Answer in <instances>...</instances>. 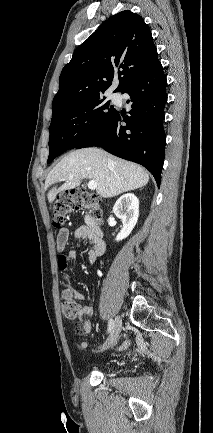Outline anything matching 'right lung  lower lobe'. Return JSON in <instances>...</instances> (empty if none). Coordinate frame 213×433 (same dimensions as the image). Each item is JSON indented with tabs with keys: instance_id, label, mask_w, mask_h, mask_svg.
Here are the masks:
<instances>
[{
	"instance_id": "1",
	"label": "right lung lower lobe",
	"mask_w": 213,
	"mask_h": 433,
	"mask_svg": "<svg viewBox=\"0 0 213 433\" xmlns=\"http://www.w3.org/2000/svg\"><path fill=\"white\" fill-rule=\"evenodd\" d=\"M167 80L158 58L121 93L130 95V116L118 111L97 134L75 148L98 146L118 157L147 168L160 185L164 162L166 135L163 129L164 107L167 102ZM126 125L122 126L121 123Z\"/></svg>"
}]
</instances>
